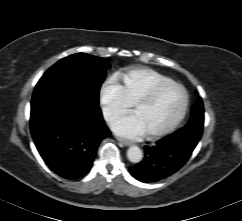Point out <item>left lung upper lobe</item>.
I'll use <instances>...</instances> for the list:
<instances>
[{
    "label": "left lung upper lobe",
    "mask_w": 242,
    "mask_h": 221,
    "mask_svg": "<svg viewBox=\"0 0 242 221\" xmlns=\"http://www.w3.org/2000/svg\"><path fill=\"white\" fill-rule=\"evenodd\" d=\"M203 124H204V107H203V102L199 97L191 109V117L188 124L180 130L193 129L195 131L202 133Z\"/></svg>",
    "instance_id": "5c2ea615"
}]
</instances>
